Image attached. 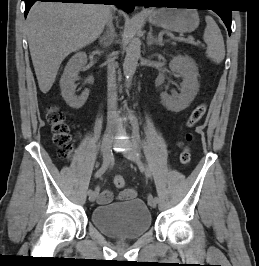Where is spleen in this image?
<instances>
[{"instance_id": "obj_1", "label": "spleen", "mask_w": 259, "mask_h": 266, "mask_svg": "<svg viewBox=\"0 0 259 266\" xmlns=\"http://www.w3.org/2000/svg\"><path fill=\"white\" fill-rule=\"evenodd\" d=\"M206 28L203 40L207 44V57L214 63L220 64L225 58V45L221 31L211 16L205 17Z\"/></svg>"}]
</instances>
